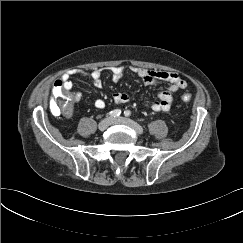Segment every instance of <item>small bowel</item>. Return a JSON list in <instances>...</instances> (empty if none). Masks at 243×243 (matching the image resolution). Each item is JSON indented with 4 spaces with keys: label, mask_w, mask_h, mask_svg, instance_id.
<instances>
[{
    "label": "small bowel",
    "mask_w": 243,
    "mask_h": 243,
    "mask_svg": "<svg viewBox=\"0 0 243 243\" xmlns=\"http://www.w3.org/2000/svg\"><path fill=\"white\" fill-rule=\"evenodd\" d=\"M109 71L113 82L120 81L126 72L125 68L122 66H113L109 68ZM130 71L137 75L145 85H156L159 83L169 84V87L166 90L160 91L157 94V98L155 100L145 101V105L154 111H167L173 103L175 93L179 90L185 89L187 86V83L182 76L175 72L149 71L143 68H132ZM74 74L87 75L95 87L100 88L102 86L101 69L93 70L90 73L81 71L65 73L62 75L60 80L57 81L62 82L65 90H71L73 87L71 76ZM73 96L75 102H78L82 98V94L80 92L75 93ZM113 100L116 104H125L131 100V97L127 93L119 92L113 95ZM94 105L98 109H103L105 107V101L103 99H97Z\"/></svg>",
    "instance_id": "small-bowel-1"
}]
</instances>
